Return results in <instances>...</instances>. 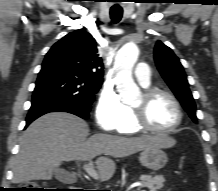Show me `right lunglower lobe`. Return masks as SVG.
Returning a JSON list of instances; mask_svg holds the SVG:
<instances>
[{
  "label": "right lung lower lobe",
  "mask_w": 218,
  "mask_h": 191,
  "mask_svg": "<svg viewBox=\"0 0 218 191\" xmlns=\"http://www.w3.org/2000/svg\"><path fill=\"white\" fill-rule=\"evenodd\" d=\"M89 110L90 107L83 108L73 102H68L61 98L51 96L40 97L32 101V105L26 118V127L38 117L49 112H68L86 119L89 116Z\"/></svg>",
  "instance_id": "right-lung-lower-lobe-1"
}]
</instances>
